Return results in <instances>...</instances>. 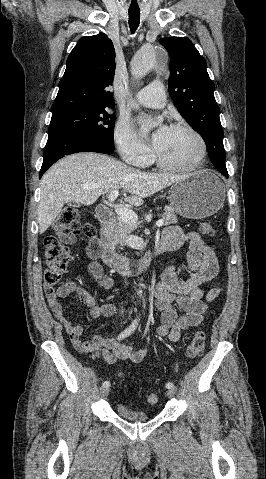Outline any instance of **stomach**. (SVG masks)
Masks as SVG:
<instances>
[{
	"instance_id": "stomach-1",
	"label": "stomach",
	"mask_w": 266,
	"mask_h": 479,
	"mask_svg": "<svg viewBox=\"0 0 266 479\" xmlns=\"http://www.w3.org/2000/svg\"><path fill=\"white\" fill-rule=\"evenodd\" d=\"M225 185L210 170H201L174 183L169 191L171 209L182 217L202 219L224 203Z\"/></svg>"
}]
</instances>
